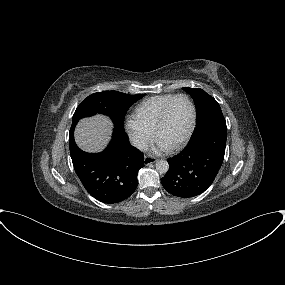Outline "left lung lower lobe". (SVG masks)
<instances>
[{
	"label": "left lung lower lobe",
	"instance_id": "0a47b994",
	"mask_svg": "<svg viewBox=\"0 0 285 285\" xmlns=\"http://www.w3.org/2000/svg\"><path fill=\"white\" fill-rule=\"evenodd\" d=\"M226 121L221 111L208 114L196 125L187 147L167 159L169 171L161 179L170 194L189 198L203 193L214 181L224 159Z\"/></svg>",
	"mask_w": 285,
	"mask_h": 285
}]
</instances>
